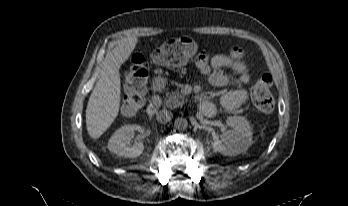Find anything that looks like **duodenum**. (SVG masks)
<instances>
[{
  "label": "duodenum",
  "instance_id": "obj_1",
  "mask_svg": "<svg viewBox=\"0 0 348 206\" xmlns=\"http://www.w3.org/2000/svg\"><path fill=\"white\" fill-rule=\"evenodd\" d=\"M157 86L156 89L157 90ZM161 105V100L158 95H153L148 106H147V113L149 115H154L158 111L159 107ZM199 112L205 116H211L215 112L214 106L209 102H204L199 107Z\"/></svg>",
  "mask_w": 348,
  "mask_h": 206
}]
</instances>
